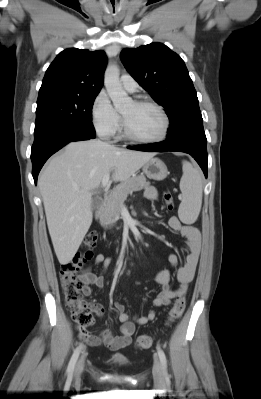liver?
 <instances>
[{
  "instance_id": "obj_1",
  "label": "liver",
  "mask_w": 261,
  "mask_h": 399,
  "mask_svg": "<svg viewBox=\"0 0 261 399\" xmlns=\"http://www.w3.org/2000/svg\"><path fill=\"white\" fill-rule=\"evenodd\" d=\"M154 155L89 140L69 143L49 161L38 186L60 264L72 260L91 226L92 194L103 177L112 172L113 181L124 182Z\"/></svg>"
}]
</instances>
